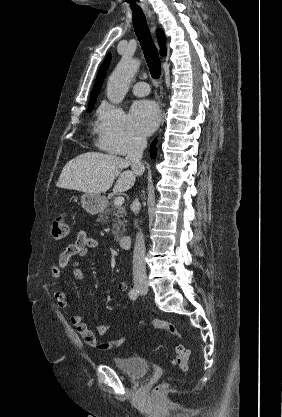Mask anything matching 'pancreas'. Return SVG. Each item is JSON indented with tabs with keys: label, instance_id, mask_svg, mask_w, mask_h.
I'll return each mask as SVG.
<instances>
[{
	"label": "pancreas",
	"instance_id": "1",
	"mask_svg": "<svg viewBox=\"0 0 282 417\" xmlns=\"http://www.w3.org/2000/svg\"><path fill=\"white\" fill-rule=\"evenodd\" d=\"M112 217V235H114V241H119L123 235L124 227L127 223L126 219V211L125 206L122 204H114V200H111L109 209H106L103 215H99V219H101L103 225L109 223L110 217Z\"/></svg>",
	"mask_w": 282,
	"mask_h": 417
}]
</instances>
